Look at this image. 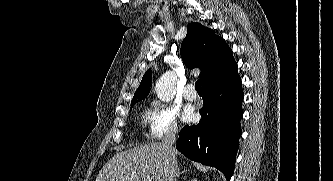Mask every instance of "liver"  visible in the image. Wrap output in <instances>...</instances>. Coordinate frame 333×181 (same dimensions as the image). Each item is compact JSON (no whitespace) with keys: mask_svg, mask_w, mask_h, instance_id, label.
I'll use <instances>...</instances> for the list:
<instances>
[{"mask_svg":"<svg viewBox=\"0 0 333 181\" xmlns=\"http://www.w3.org/2000/svg\"><path fill=\"white\" fill-rule=\"evenodd\" d=\"M170 168V157L162 143H152L117 153L95 181H167Z\"/></svg>","mask_w":333,"mask_h":181,"instance_id":"obj_1","label":"liver"}]
</instances>
